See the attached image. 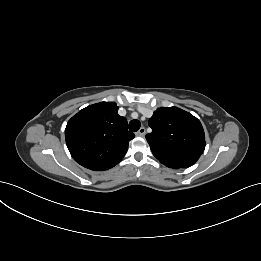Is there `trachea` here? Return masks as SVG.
Wrapping results in <instances>:
<instances>
[{"instance_id":"trachea-1","label":"trachea","mask_w":261,"mask_h":261,"mask_svg":"<svg viewBox=\"0 0 261 261\" xmlns=\"http://www.w3.org/2000/svg\"><path fill=\"white\" fill-rule=\"evenodd\" d=\"M141 123L139 120H131L129 122V130L132 132H136L140 129Z\"/></svg>"}]
</instances>
